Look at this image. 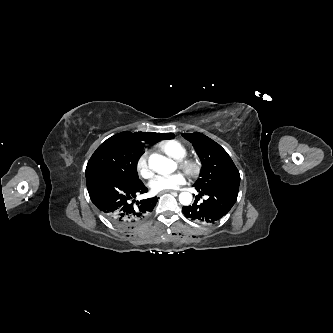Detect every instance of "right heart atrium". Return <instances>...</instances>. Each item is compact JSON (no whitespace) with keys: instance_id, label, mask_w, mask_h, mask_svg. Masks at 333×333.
Here are the masks:
<instances>
[{"instance_id":"obj_1","label":"right heart atrium","mask_w":333,"mask_h":333,"mask_svg":"<svg viewBox=\"0 0 333 333\" xmlns=\"http://www.w3.org/2000/svg\"><path fill=\"white\" fill-rule=\"evenodd\" d=\"M137 171L143 178H150L153 174L149 164V153L145 152L137 161Z\"/></svg>"}]
</instances>
